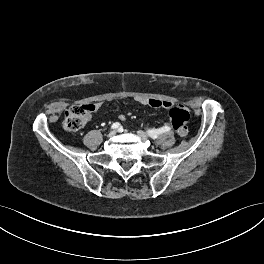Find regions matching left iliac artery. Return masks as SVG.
<instances>
[{"label": "left iliac artery", "instance_id": "44dca946", "mask_svg": "<svg viewBox=\"0 0 264 264\" xmlns=\"http://www.w3.org/2000/svg\"><path fill=\"white\" fill-rule=\"evenodd\" d=\"M148 131H150L151 133L156 132L157 134L160 135V134H163V133L170 131V127L164 126V127L159 128V129H152V130H148Z\"/></svg>", "mask_w": 264, "mask_h": 264}]
</instances>
